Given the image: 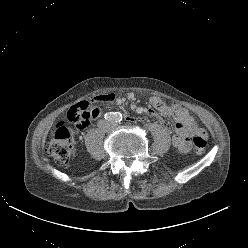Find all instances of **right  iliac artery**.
Listing matches in <instances>:
<instances>
[{"mask_svg":"<svg viewBox=\"0 0 248 248\" xmlns=\"http://www.w3.org/2000/svg\"><path fill=\"white\" fill-rule=\"evenodd\" d=\"M104 118L107 120V121H113L114 120V113L110 112V113H106Z\"/></svg>","mask_w":248,"mask_h":248,"instance_id":"1","label":"right iliac artery"}]
</instances>
